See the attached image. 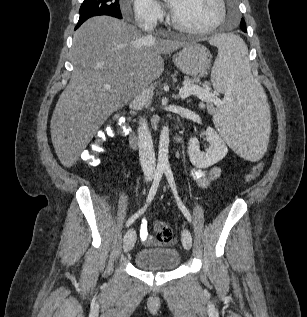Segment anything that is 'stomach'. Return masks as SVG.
<instances>
[{"label": "stomach", "instance_id": "obj_1", "mask_svg": "<svg viewBox=\"0 0 307 317\" xmlns=\"http://www.w3.org/2000/svg\"><path fill=\"white\" fill-rule=\"evenodd\" d=\"M173 61L184 74L192 77H204L210 70L211 55L203 45L189 43L173 56Z\"/></svg>", "mask_w": 307, "mask_h": 317}]
</instances>
